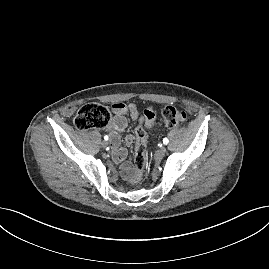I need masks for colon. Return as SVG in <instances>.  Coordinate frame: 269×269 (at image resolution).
Here are the masks:
<instances>
[{
	"label": "colon",
	"mask_w": 269,
	"mask_h": 269,
	"mask_svg": "<svg viewBox=\"0 0 269 269\" xmlns=\"http://www.w3.org/2000/svg\"><path fill=\"white\" fill-rule=\"evenodd\" d=\"M166 127L173 128L183 124L187 119L185 111L174 106H166L161 112ZM155 118L152 108H145L141 112V120L136 128L137 146L134 156V173L131 177L133 183H138L142 177V171L146 165V129L150 128ZM111 120L109 109L101 104L90 103L82 106L74 119L75 126L80 130L107 127Z\"/></svg>",
	"instance_id": "1"
}]
</instances>
